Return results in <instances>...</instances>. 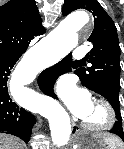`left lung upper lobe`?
<instances>
[{
	"mask_svg": "<svg viewBox=\"0 0 124 149\" xmlns=\"http://www.w3.org/2000/svg\"><path fill=\"white\" fill-rule=\"evenodd\" d=\"M80 8L94 16V30L88 38L93 48L84 58L91 66L79 69L76 74L83 86L110 102L116 119L122 122L119 106L120 46L116 26L96 0H65L62 13L66 16Z\"/></svg>",
	"mask_w": 124,
	"mask_h": 149,
	"instance_id": "left-lung-upper-lobe-1",
	"label": "left lung upper lobe"
}]
</instances>
